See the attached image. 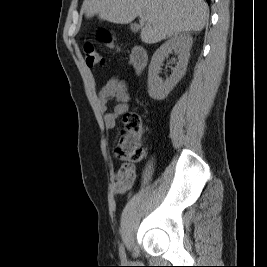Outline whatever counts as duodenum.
Instances as JSON below:
<instances>
[{"label": "duodenum", "instance_id": "obj_1", "mask_svg": "<svg viewBox=\"0 0 267 267\" xmlns=\"http://www.w3.org/2000/svg\"><path fill=\"white\" fill-rule=\"evenodd\" d=\"M131 58L134 69L136 71H141L145 68L148 61L147 51L145 48L137 46L133 48Z\"/></svg>", "mask_w": 267, "mask_h": 267}]
</instances>
